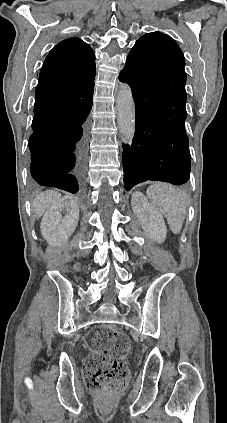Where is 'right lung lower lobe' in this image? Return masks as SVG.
<instances>
[{
    "label": "right lung lower lobe",
    "instance_id": "right-lung-lower-lobe-1",
    "mask_svg": "<svg viewBox=\"0 0 227 423\" xmlns=\"http://www.w3.org/2000/svg\"><path fill=\"white\" fill-rule=\"evenodd\" d=\"M93 95V94H92ZM92 95L61 101L35 98L32 127L39 129L29 139L31 175L41 186L78 192L86 159V119Z\"/></svg>",
    "mask_w": 227,
    "mask_h": 423
}]
</instances>
